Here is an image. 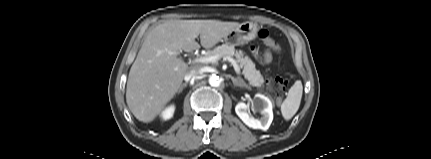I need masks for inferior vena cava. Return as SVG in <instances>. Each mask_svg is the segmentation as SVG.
Here are the masks:
<instances>
[{
    "label": "inferior vena cava",
    "mask_w": 431,
    "mask_h": 159,
    "mask_svg": "<svg viewBox=\"0 0 431 159\" xmlns=\"http://www.w3.org/2000/svg\"><path fill=\"white\" fill-rule=\"evenodd\" d=\"M201 73H202V70L200 68H193L185 75V80L190 81L191 79H195Z\"/></svg>",
    "instance_id": "inferior-vena-cava-1"
}]
</instances>
